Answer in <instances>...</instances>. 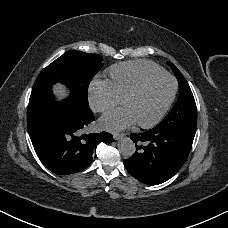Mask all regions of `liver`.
Listing matches in <instances>:
<instances>
[{
	"label": "liver",
	"instance_id": "liver-1",
	"mask_svg": "<svg viewBox=\"0 0 228 228\" xmlns=\"http://www.w3.org/2000/svg\"><path fill=\"white\" fill-rule=\"evenodd\" d=\"M53 92L55 94V96L58 98V100H61L65 97L68 96L69 91L67 90V88L62 85L61 83H57L55 85H53Z\"/></svg>",
	"mask_w": 228,
	"mask_h": 228
}]
</instances>
